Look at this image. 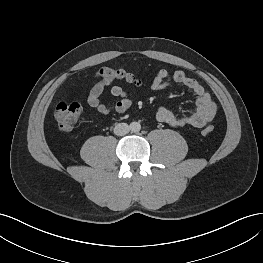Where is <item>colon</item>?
<instances>
[{
  "mask_svg": "<svg viewBox=\"0 0 263 263\" xmlns=\"http://www.w3.org/2000/svg\"><path fill=\"white\" fill-rule=\"evenodd\" d=\"M97 78L106 83L122 82L129 85H139V79L123 69L103 67L97 74ZM83 112V106L78 102H61L56 106L54 118L60 131L73 129L77 119ZM213 132L212 127H206L203 134L209 135Z\"/></svg>",
  "mask_w": 263,
  "mask_h": 263,
  "instance_id": "1",
  "label": "colon"
}]
</instances>
